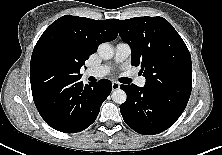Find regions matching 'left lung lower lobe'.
Returning <instances> with one entry per match:
<instances>
[{"label":"left lung lower lobe","mask_w":222,"mask_h":155,"mask_svg":"<svg viewBox=\"0 0 222 155\" xmlns=\"http://www.w3.org/2000/svg\"><path fill=\"white\" fill-rule=\"evenodd\" d=\"M120 88L127 94L126 102L120 105L122 117L139 134L165 131L181 116L188 102L135 84Z\"/></svg>","instance_id":"obj_1"}]
</instances>
